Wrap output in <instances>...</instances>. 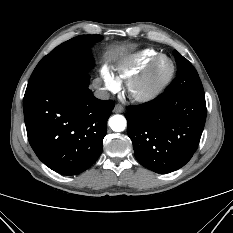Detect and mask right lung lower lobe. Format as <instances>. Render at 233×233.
<instances>
[{
    "label": "right lung lower lobe",
    "mask_w": 233,
    "mask_h": 233,
    "mask_svg": "<svg viewBox=\"0 0 233 233\" xmlns=\"http://www.w3.org/2000/svg\"><path fill=\"white\" fill-rule=\"evenodd\" d=\"M86 73L65 76L23 99L29 143L37 157L62 175L91 167L100 156L112 100H99Z\"/></svg>",
    "instance_id": "obj_1"
}]
</instances>
